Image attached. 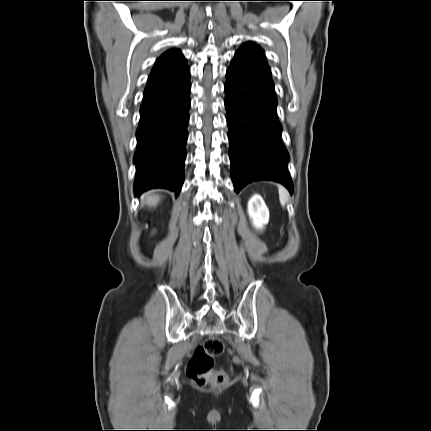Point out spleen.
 <instances>
[{"label":"spleen","mask_w":431,"mask_h":431,"mask_svg":"<svg viewBox=\"0 0 431 431\" xmlns=\"http://www.w3.org/2000/svg\"><path fill=\"white\" fill-rule=\"evenodd\" d=\"M278 191L280 203L284 207L289 200V193L283 186H279Z\"/></svg>","instance_id":"spleen-1"}]
</instances>
